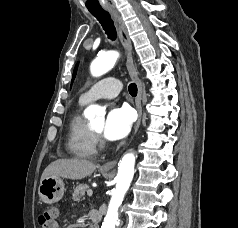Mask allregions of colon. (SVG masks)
<instances>
[{"instance_id":"1","label":"colon","mask_w":238,"mask_h":228,"mask_svg":"<svg viewBox=\"0 0 238 228\" xmlns=\"http://www.w3.org/2000/svg\"><path fill=\"white\" fill-rule=\"evenodd\" d=\"M59 217V208L57 206H47L43 208L39 215V224L41 228H47Z\"/></svg>"}]
</instances>
